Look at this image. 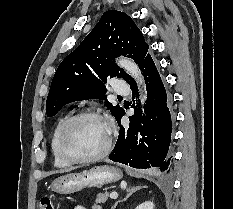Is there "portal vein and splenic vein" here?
Segmentation results:
<instances>
[{
  "instance_id": "portal-vein-and-splenic-vein-1",
  "label": "portal vein and splenic vein",
  "mask_w": 233,
  "mask_h": 209,
  "mask_svg": "<svg viewBox=\"0 0 233 209\" xmlns=\"http://www.w3.org/2000/svg\"><path fill=\"white\" fill-rule=\"evenodd\" d=\"M118 197V194L116 193V192H112L111 194H110V198L111 199H116Z\"/></svg>"
}]
</instances>
